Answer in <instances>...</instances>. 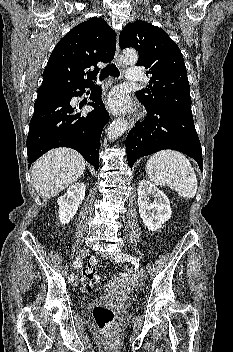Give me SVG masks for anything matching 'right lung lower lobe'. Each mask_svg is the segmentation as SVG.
<instances>
[{"mask_svg":"<svg viewBox=\"0 0 233 352\" xmlns=\"http://www.w3.org/2000/svg\"><path fill=\"white\" fill-rule=\"evenodd\" d=\"M92 83L78 86L67 97L37 99L27 137L28 163L34 162L52 148L69 147L77 150L95 170L99 169V141L109 114L101 99V87H94L87 104L95 109L78 112L72 104ZM79 89L80 91H77ZM82 105L80 106V108Z\"/></svg>","mask_w":233,"mask_h":352,"instance_id":"1","label":"right lung lower lobe"}]
</instances>
